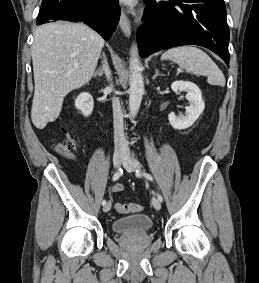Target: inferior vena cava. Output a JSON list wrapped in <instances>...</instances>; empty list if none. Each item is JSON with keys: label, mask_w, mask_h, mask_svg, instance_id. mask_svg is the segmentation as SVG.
I'll return each mask as SVG.
<instances>
[{"label": "inferior vena cava", "mask_w": 259, "mask_h": 283, "mask_svg": "<svg viewBox=\"0 0 259 283\" xmlns=\"http://www.w3.org/2000/svg\"><path fill=\"white\" fill-rule=\"evenodd\" d=\"M103 69L105 71L107 79L111 81V72L107 66V63L103 64ZM112 107L115 147L118 149H126L128 145L124 136L123 113L121 110L120 102L115 97L112 100Z\"/></svg>", "instance_id": "inferior-vena-cava-1"}]
</instances>
